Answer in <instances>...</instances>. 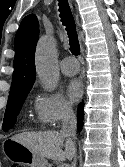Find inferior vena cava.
<instances>
[{
	"mask_svg": "<svg viewBox=\"0 0 125 167\" xmlns=\"http://www.w3.org/2000/svg\"><path fill=\"white\" fill-rule=\"evenodd\" d=\"M62 129L61 133L67 137L76 138L77 119L72 109L64 108L61 112ZM76 151L71 167H76Z\"/></svg>",
	"mask_w": 125,
	"mask_h": 167,
	"instance_id": "1",
	"label": "inferior vena cava"
}]
</instances>
